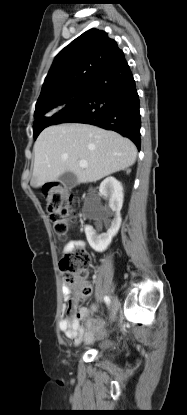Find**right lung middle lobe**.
Segmentation results:
<instances>
[{
  "instance_id": "1",
  "label": "right lung middle lobe",
  "mask_w": 187,
  "mask_h": 415,
  "mask_svg": "<svg viewBox=\"0 0 187 415\" xmlns=\"http://www.w3.org/2000/svg\"><path fill=\"white\" fill-rule=\"evenodd\" d=\"M88 87H89V81L85 82L82 85L70 88L64 93V95L60 98L59 101L48 106L37 108L34 113V118H35V121L33 124L34 139L37 138V136L40 134V132L44 128L52 125L54 116L56 115L55 113L54 115L50 116L52 112H57L63 109L66 106V104H68L74 98L86 92Z\"/></svg>"
}]
</instances>
